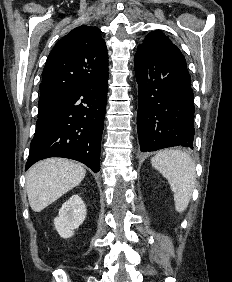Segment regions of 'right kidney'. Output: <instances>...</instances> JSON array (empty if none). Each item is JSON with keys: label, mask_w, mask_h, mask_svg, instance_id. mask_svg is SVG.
<instances>
[{"label": "right kidney", "mask_w": 232, "mask_h": 282, "mask_svg": "<svg viewBox=\"0 0 232 282\" xmlns=\"http://www.w3.org/2000/svg\"><path fill=\"white\" fill-rule=\"evenodd\" d=\"M86 218V206L78 195L71 196L62 204L59 216L54 219L57 232L63 238H70Z\"/></svg>", "instance_id": "right-kidney-1"}]
</instances>
